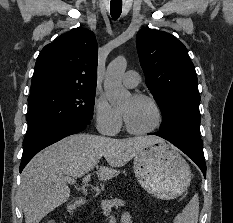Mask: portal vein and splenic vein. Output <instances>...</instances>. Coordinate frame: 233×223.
<instances>
[{
  "mask_svg": "<svg viewBox=\"0 0 233 223\" xmlns=\"http://www.w3.org/2000/svg\"><path fill=\"white\" fill-rule=\"evenodd\" d=\"M65 181L67 183H76L77 179L75 177H68V175H64ZM89 181H91V175H85V177H82V183L84 185H90ZM102 205H116V206H124L125 202L124 201H118V202H111V199H101Z\"/></svg>",
  "mask_w": 233,
  "mask_h": 223,
  "instance_id": "1",
  "label": "portal vein and splenic vein"
}]
</instances>
